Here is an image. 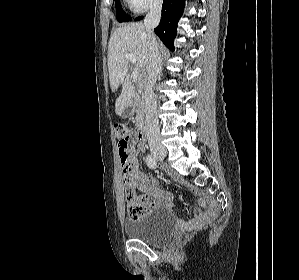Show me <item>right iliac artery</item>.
Returning a JSON list of instances; mask_svg holds the SVG:
<instances>
[{"instance_id":"82829eb1","label":"right iliac artery","mask_w":299,"mask_h":280,"mask_svg":"<svg viewBox=\"0 0 299 280\" xmlns=\"http://www.w3.org/2000/svg\"><path fill=\"white\" fill-rule=\"evenodd\" d=\"M146 164L151 169L156 168V166H157L156 160L154 159V157L152 155H147Z\"/></svg>"}]
</instances>
